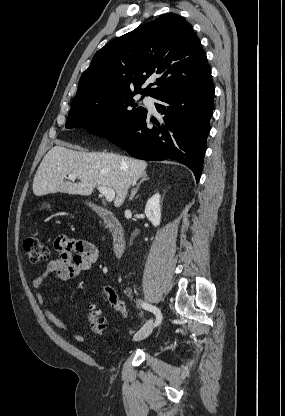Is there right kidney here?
I'll use <instances>...</instances> for the list:
<instances>
[{
	"mask_svg": "<svg viewBox=\"0 0 285 416\" xmlns=\"http://www.w3.org/2000/svg\"><path fill=\"white\" fill-rule=\"evenodd\" d=\"M160 194H154L148 200L145 208V214L153 226H160L161 208H160Z\"/></svg>",
	"mask_w": 285,
	"mask_h": 416,
	"instance_id": "obj_1",
	"label": "right kidney"
}]
</instances>
